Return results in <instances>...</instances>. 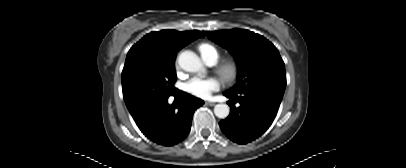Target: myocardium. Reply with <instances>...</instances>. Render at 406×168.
Returning a JSON list of instances; mask_svg holds the SVG:
<instances>
[{"mask_svg":"<svg viewBox=\"0 0 406 168\" xmlns=\"http://www.w3.org/2000/svg\"><path fill=\"white\" fill-rule=\"evenodd\" d=\"M216 73L225 83H234L240 75V64L235 58H226L216 65Z\"/></svg>","mask_w":406,"mask_h":168,"instance_id":"obj_1","label":"myocardium"}]
</instances>
